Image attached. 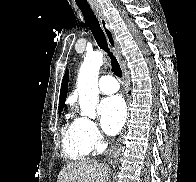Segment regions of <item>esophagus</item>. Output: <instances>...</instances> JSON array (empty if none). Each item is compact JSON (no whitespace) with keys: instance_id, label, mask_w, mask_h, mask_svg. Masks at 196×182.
<instances>
[{"instance_id":"34e87169","label":"esophagus","mask_w":196,"mask_h":182,"mask_svg":"<svg viewBox=\"0 0 196 182\" xmlns=\"http://www.w3.org/2000/svg\"><path fill=\"white\" fill-rule=\"evenodd\" d=\"M93 11L95 15L97 16L100 26L104 32V35L106 37V40L109 44V46L114 51L117 59L121 62V51L118 42L115 39V35L113 31L111 30L109 23L105 16L102 13V10L99 7H93ZM123 76H125V72L123 70ZM119 145H120V139L118 140L117 144L110 150L108 153L107 159L110 160L111 158H114L119 153Z\"/></svg>"}]
</instances>
